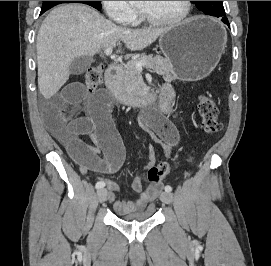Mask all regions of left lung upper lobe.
Masks as SVG:
<instances>
[{"label": "left lung upper lobe", "instance_id": "left-lung-upper-lobe-1", "mask_svg": "<svg viewBox=\"0 0 271 266\" xmlns=\"http://www.w3.org/2000/svg\"><path fill=\"white\" fill-rule=\"evenodd\" d=\"M203 13L215 17L225 16L222 1H191Z\"/></svg>", "mask_w": 271, "mask_h": 266}]
</instances>
